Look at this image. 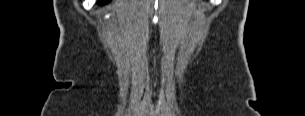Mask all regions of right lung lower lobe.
<instances>
[{
	"label": "right lung lower lobe",
	"instance_id": "98d812e1",
	"mask_svg": "<svg viewBox=\"0 0 305 116\" xmlns=\"http://www.w3.org/2000/svg\"><path fill=\"white\" fill-rule=\"evenodd\" d=\"M107 2H108V0H101V1H100L101 4H105V3H107Z\"/></svg>",
	"mask_w": 305,
	"mask_h": 116
}]
</instances>
